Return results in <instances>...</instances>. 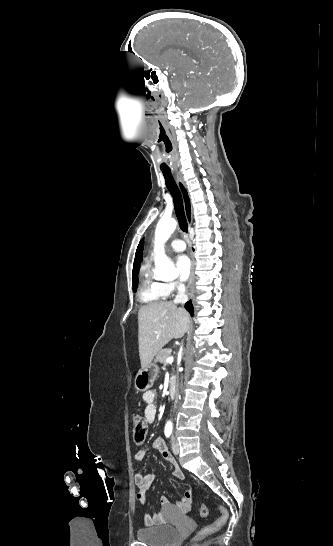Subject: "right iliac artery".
Listing matches in <instances>:
<instances>
[{
    "instance_id": "obj_1",
    "label": "right iliac artery",
    "mask_w": 333,
    "mask_h": 546,
    "mask_svg": "<svg viewBox=\"0 0 333 546\" xmlns=\"http://www.w3.org/2000/svg\"><path fill=\"white\" fill-rule=\"evenodd\" d=\"M171 434H172V430H171V429H166V430H165V436H166L167 438H169Z\"/></svg>"
}]
</instances>
